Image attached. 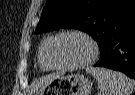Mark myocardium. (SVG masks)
<instances>
[{
  "label": "myocardium",
  "mask_w": 135,
  "mask_h": 95,
  "mask_svg": "<svg viewBox=\"0 0 135 95\" xmlns=\"http://www.w3.org/2000/svg\"><path fill=\"white\" fill-rule=\"evenodd\" d=\"M64 36H77V37H81L84 40H86V42L89 44L90 49H91L90 56L85 61L78 63V64H74V65L61 66V65L54 64L51 59L52 46L57 39L64 37ZM98 53H99L98 45H97L96 41L90 35H88L87 33L83 32V31L67 30V31L59 32L50 38V40L47 44V47H46V51H45V61H46L47 66L50 69L60 70V71H72V70L82 69V68L88 66L89 64H91L92 62H94V60L98 56Z\"/></svg>",
  "instance_id": "1"
}]
</instances>
